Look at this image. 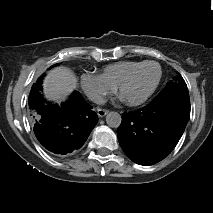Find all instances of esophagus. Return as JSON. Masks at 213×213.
I'll use <instances>...</instances> for the list:
<instances>
[{"label": "esophagus", "mask_w": 213, "mask_h": 213, "mask_svg": "<svg viewBox=\"0 0 213 213\" xmlns=\"http://www.w3.org/2000/svg\"><path fill=\"white\" fill-rule=\"evenodd\" d=\"M107 113H108V110L106 109H101V108L97 109V114L101 118L104 117Z\"/></svg>", "instance_id": "1"}]
</instances>
